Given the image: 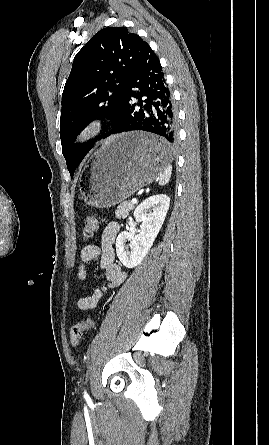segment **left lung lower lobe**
<instances>
[{"mask_svg": "<svg viewBox=\"0 0 269 445\" xmlns=\"http://www.w3.org/2000/svg\"><path fill=\"white\" fill-rule=\"evenodd\" d=\"M177 129V111L171 92L159 59L148 45L128 81L121 116L105 137L127 131H147L159 135L162 140L160 144L148 146V151L171 152L177 141Z\"/></svg>", "mask_w": 269, "mask_h": 445, "instance_id": "obj_1", "label": "left lung lower lobe"}]
</instances>
